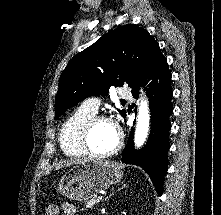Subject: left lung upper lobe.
I'll return each mask as SVG.
<instances>
[{"instance_id":"left-lung-upper-lobe-1","label":"left lung upper lobe","mask_w":221,"mask_h":215,"mask_svg":"<svg viewBox=\"0 0 221 215\" xmlns=\"http://www.w3.org/2000/svg\"><path fill=\"white\" fill-rule=\"evenodd\" d=\"M164 58L158 43L141 27L128 24L108 32L64 69L55 98V119L89 96L106 95L111 86L128 83L133 90ZM119 112L125 117L124 110Z\"/></svg>"}]
</instances>
